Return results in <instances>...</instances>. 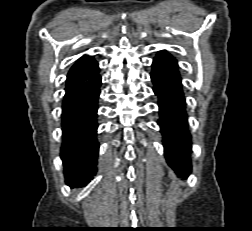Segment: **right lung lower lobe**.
<instances>
[{"label":"right lung lower lobe","mask_w":252,"mask_h":231,"mask_svg":"<svg viewBox=\"0 0 252 231\" xmlns=\"http://www.w3.org/2000/svg\"><path fill=\"white\" fill-rule=\"evenodd\" d=\"M101 76L66 88L62 106L63 144L66 184L86 185L96 173L99 144L97 133V103Z\"/></svg>","instance_id":"obj_1"}]
</instances>
